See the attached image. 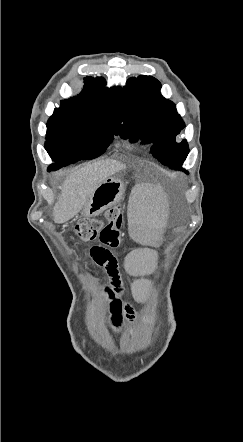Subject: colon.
<instances>
[{
  "label": "colon",
  "instance_id": "obj_1",
  "mask_svg": "<svg viewBox=\"0 0 243 442\" xmlns=\"http://www.w3.org/2000/svg\"><path fill=\"white\" fill-rule=\"evenodd\" d=\"M74 234L86 243L85 251L91 252L92 258L103 265L115 256L110 249H117L122 241V211L120 206L107 210L103 218L87 217L80 219L73 228Z\"/></svg>",
  "mask_w": 243,
  "mask_h": 442
}]
</instances>
